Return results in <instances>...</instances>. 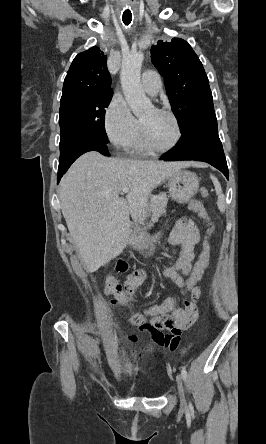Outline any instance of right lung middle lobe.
I'll use <instances>...</instances> for the list:
<instances>
[{"label": "right lung middle lobe", "mask_w": 266, "mask_h": 444, "mask_svg": "<svg viewBox=\"0 0 266 444\" xmlns=\"http://www.w3.org/2000/svg\"><path fill=\"white\" fill-rule=\"evenodd\" d=\"M112 91L93 93L60 102V156L88 138L108 143L104 120Z\"/></svg>", "instance_id": "1"}]
</instances>
